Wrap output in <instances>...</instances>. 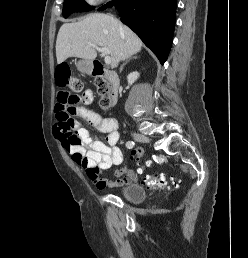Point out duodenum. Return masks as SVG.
I'll list each match as a JSON object with an SVG mask.
<instances>
[{
  "label": "duodenum",
  "instance_id": "410a0bca",
  "mask_svg": "<svg viewBox=\"0 0 248 258\" xmlns=\"http://www.w3.org/2000/svg\"><path fill=\"white\" fill-rule=\"evenodd\" d=\"M92 75L94 78L105 77L111 85L110 100L111 105L114 107L118 101L119 94V77L116 72L111 70H104L101 62L95 60L92 64Z\"/></svg>",
  "mask_w": 248,
  "mask_h": 258
}]
</instances>
